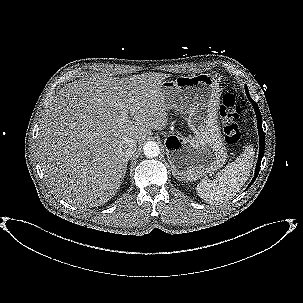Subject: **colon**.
I'll use <instances>...</instances> for the list:
<instances>
[{"mask_svg":"<svg viewBox=\"0 0 303 303\" xmlns=\"http://www.w3.org/2000/svg\"><path fill=\"white\" fill-rule=\"evenodd\" d=\"M246 108V102L238 99L236 94L227 93L223 96L220 116L224 138L229 144H236L240 140L239 119Z\"/></svg>","mask_w":303,"mask_h":303,"instance_id":"1","label":"colon"}]
</instances>
